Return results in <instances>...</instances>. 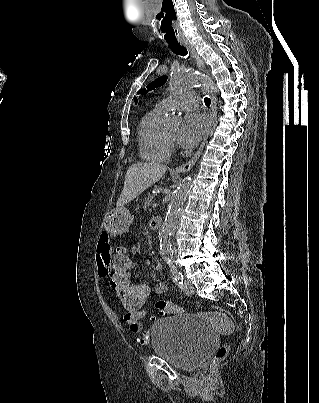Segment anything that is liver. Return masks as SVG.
<instances>
[{
	"label": "liver",
	"mask_w": 319,
	"mask_h": 403,
	"mask_svg": "<svg viewBox=\"0 0 319 403\" xmlns=\"http://www.w3.org/2000/svg\"><path fill=\"white\" fill-rule=\"evenodd\" d=\"M167 166L157 163H135L126 173L124 187L117 201V208L123 207L139 196L144 190L158 182Z\"/></svg>",
	"instance_id": "6515ba94"
}]
</instances>
